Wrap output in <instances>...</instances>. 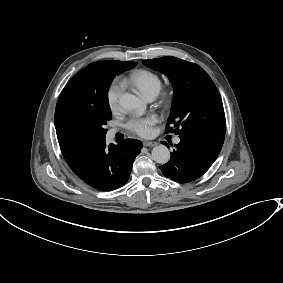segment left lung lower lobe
<instances>
[{
  "label": "left lung lower lobe",
  "mask_w": 283,
  "mask_h": 283,
  "mask_svg": "<svg viewBox=\"0 0 283 283\" xmlns=\"http://www.w3.org/2000/svg\"><path fill=\"white\" fill-rule=\"evenodd\" d=\"M168 163L160 166L163 175L187 183L202 176L218 157L223 143L189 136H179Z\"/></svg>",
  "instance_id": "0a47b994"
}]
</instances>
